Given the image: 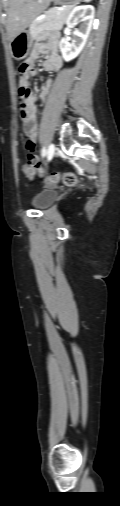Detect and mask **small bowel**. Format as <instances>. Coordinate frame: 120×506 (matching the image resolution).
I'll use <instances>...</instances> for the list:
<instances>
[{
    "label": "small bowel",
    "mask_w": 120,
    "mask_h": 506,
    "mask_svg": "<svg viewBox=\"0 0 120 506\" xmlns=\"http://www.w3.org/2000/svg\"><path fill=\"white\" fill-rule=\"evenodd\" d=\"M47 37L48 40L46 42L39 41L35 44L29 57L24 62L27 65V69L24 72H20L19 78V86L25 87L29 90V95L25 99L20 113L23 120L24 130L33 141L38 135V124L37 108L35 105L33 91L30 86L29 77L36 75L35 62L40 56H45L42 66L46 71L57 72L62 66V59L58 54V36L47 35ZM52 84V79H46L43 83L39 93V97L42 101L47 99Z\"/></svg>",
    "instance_id": "1"
}]
</instances>
